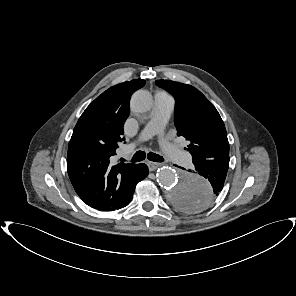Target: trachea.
<instances>
[{"instance_id": "3493384b", "label": "trachea", "mask_w": 296, "mask_h": 296, "mask_svg": "<svg viewBox=\"0 0 296 296\" xmlns=\"http://www.w3.org/2000/svg\"><path fill=\"white\" fill-rule=\"evenodd\" d=\"M146 157V153L144 151H137L132 159H131V162H140V161H143ZM147 158L150 160V161H154V162H163L164 159L162 156L156 154V153H152V152H149L147 154ZM121 161L124 162L125 159L121 158Z\"/></svg>"}]
</instances>
